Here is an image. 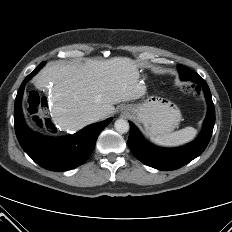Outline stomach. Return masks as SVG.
I'll use <instances>...</instances> for the list:
<instances>
[{
  "mask_svg": "<svg viewBox=\"0 0 232 232\" xmlns=\"http://www.w3.org/2000/svg\"><path fill=\"white\" fill-rule=\"evenodd\" d=\"M151 135H165L172 132L181 120L180 110L170 101L150 96L139 104L123 106Z\"/></svg>",
  "mask_w": 232,
  "mask_h": 232,
  "instance_id": "stomach-1",
  "label": "stomach"
}]
</instances>
